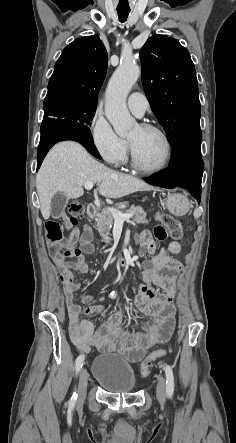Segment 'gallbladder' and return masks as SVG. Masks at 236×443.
<instances>
[{"label": "gallbladder", "mask_w": 236, "mask_h": 443, "mask_svg": "<svg viewBox=\"0 0 236 443\" xmlns=\"http://www.w3.org/2000/svg\"><path fill=\"white\" fill-rule=\"evenodd\" d=\"M69 198L64 193L55 194L50 203V213L53 218H59L62 216L65 207L67 206Z\"/></svg>", "instance_id": "bac80fb5"}]
</instances>
